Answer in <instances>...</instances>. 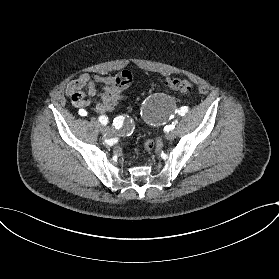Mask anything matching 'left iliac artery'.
Instances as JSON below:
<instances>
[{
    "label": "left iliac artery",
    "mask_w": 279,
    "mask_h": 279,
    "mask_svg": "<svg viewBox=\"0 0 279 279\" xmlns=\"http://www.w3.org/2000/svg\"><path fill=\"white\" fill-rule=\"evenodd\" d=\"M186 112H188V107L186 106H183L180 108V110H178V114L181 116L185 115ZM172 129H174V127Z\"/></svg>",
    "instance_id": "obj_1"
}]
</instances>
